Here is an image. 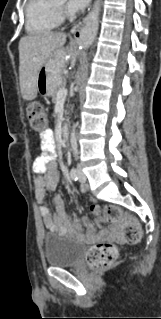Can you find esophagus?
Returning a JSON list of instances; mask_svg holds the SVG:
<instances>
[{
	"label": "esophagus",
	"mask_w": 161,
	"mask_h": 319,
	"mask_svg": "<svg viewBox=\"0 0 161 319\" xmlns=\"http://www.w3.org/2000/svg\"><path fill=\"white\" fill-rule=\"evenodd\" d=\"M85 28L83 26H78L76 29H73L72 33L75 39L82 45L88 46L89 42L84 38Z\"/></svg>",
	"instance_id": "34e87169"
}]
</instances>
